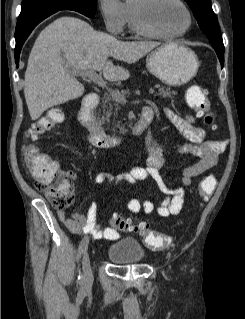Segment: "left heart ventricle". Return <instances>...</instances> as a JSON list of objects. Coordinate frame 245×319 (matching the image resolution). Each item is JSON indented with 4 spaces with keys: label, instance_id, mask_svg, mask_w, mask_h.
I'll list each match as a JSON object with an SVG mask.
<instances>
[{
    "label": "left heart ventricle",
    "instance_id": "obj_1",
    "mask_svg": "<svg viewBox=\"0 0 245 319\" xmlns=\"http://www.w3.org/2000/svg\"><path fill=\"white\" fill-rule=\"evenodd\" d=\"M149 22L158 30L178 32L187 25V15L175 0H154L148 10Z\"/></svg>",
    "mask_w": 245,
    "mask_h": 319
}]
</instances>
